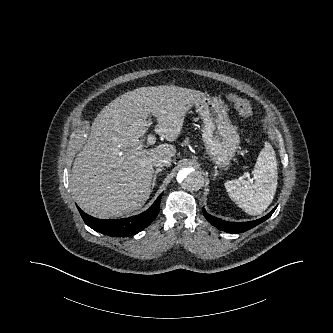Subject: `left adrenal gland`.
<instances>
[{
    "label": "left adrenal gland",
    "instance_id": "left-adrenal-gland-1",
    "mask_svg": "<svg viewBox=\"0 0 333 333\" xmlns=\"http://www.w3.org/2000/svg\"><path fill=\"white\" fill-rule=\"evenodd\" d=\"M218 175H219V172H218L217 168L215 167L214 174H213V179H215Z\"/></svg>",
    "mask_w": 333,
    "mask_h": 333
}]
</instances>
